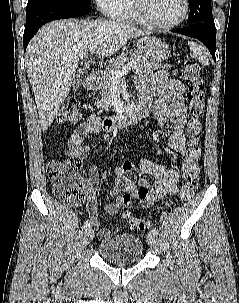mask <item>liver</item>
<instances>
[{"label": "liver", "instance_id": "1", "mask_svg": "<svg viewBox=\"0 0 239 303\" xmlns=\"http://www.w3.org/2000/svg\"><path fill=\"white\" fill-rule=\"evenodd\" d=\"M146 34L129 24L107 19H69L44 25L25 53L42 130L46 131L52 124L69 94L78 60L92 45H97V55L110 57L129 39Z\"/></svg>", "mask_w": 239, "mask_h": 303}]
</instances>
